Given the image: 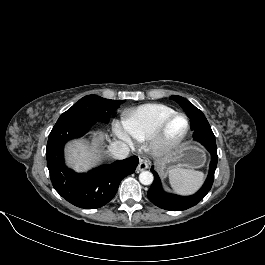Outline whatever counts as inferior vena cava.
I'll return each instance as SVG.
<instances>
[{
  "instance_id": "obj_1",
  "label": "inferior vena cava",
  "mask_w": 265,
  "mask_h": 265,
  "mask_svg": "<svg viewBox=\"0 0 265 265\" xmlns=\"http://www.w3.org/2000/svg\"><path fill=\"white\" fill-rule=\"evenodd\" d=\"M109 154L114 159H125L128 157L129 146L122 141H114L108 147Z\"/></svg>"
}]
</instances>
